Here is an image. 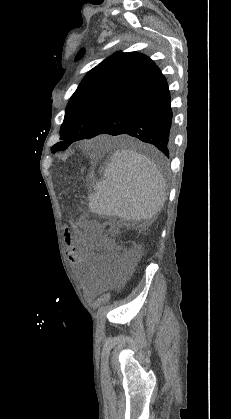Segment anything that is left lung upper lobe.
<instances>
[{"instance_id": "left-lung-upper-lobe-1", "label": "left lung upper lobe", "mask_w": 231, "mask_h": 419, "mask_svg": "<svg viewBox=\"0 0 231 419\" xmlns=\"http://www.w3.org/2000/svg\"><path fill=\"white\" fill-rule=\"evenodd\" d=\"M156 68L149 57L138 52H117L94 67L71 96L60 129L62 141L51 151L86 139Z\"/></svg>"}]
</instances>
